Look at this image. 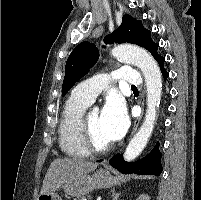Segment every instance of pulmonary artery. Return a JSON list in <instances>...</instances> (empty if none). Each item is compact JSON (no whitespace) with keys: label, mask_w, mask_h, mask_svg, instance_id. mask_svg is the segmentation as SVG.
<instances>
[{"label":"pulmonary artery","mask_w":201,"mask_h":200,"mask_svg":"<svg viewBox=\"0 0 201 200\" xmlns=\"http://www.w3.org/2000/svg\"><path fill=\"white\" fill-rule=\"evenodd\" d=\"M116 77L132 85H139L141 83L140 74L128 66H122L116 73ZM109 84L110 81L106 76H97L77 85L73 89L72 94L88 103H92Z\"/></svg>","instance_id":"1"}]
</instances>
